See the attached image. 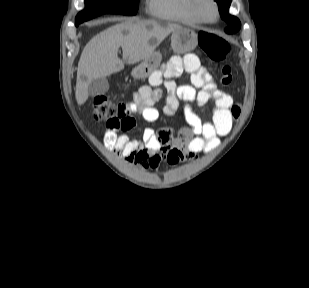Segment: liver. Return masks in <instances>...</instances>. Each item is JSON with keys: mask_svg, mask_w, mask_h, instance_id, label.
Returning <instances> with one entry per match:
<instances>
[{"mask_svg": "<svg viewBox=\"0 0 309 288\" xmlns=\"http://www.w3.org/2000/svg\"><path fill=\"white\" fill-rule=\"evenodd\" d=\"M181 26L155 20L127 19L94 36L84 47L77 69L76 100L88 99V86L94 80L124 69L154 53L156 47ZM122 47V60L118 49Z\"/></svg>", "mask_w": 309, "mask_h": 288, "instance_id": "liver-1", "label": "liver"}]
</instances>
